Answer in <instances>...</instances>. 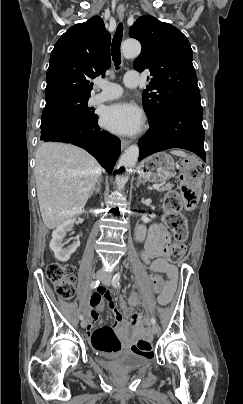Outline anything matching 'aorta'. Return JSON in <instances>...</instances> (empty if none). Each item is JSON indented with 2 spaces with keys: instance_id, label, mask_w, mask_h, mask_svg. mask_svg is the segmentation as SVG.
Instances as JSON below:
<instances>
[{
  "instance_id": "1",
  "label": "aorta",
  "mask_w": 243,
  "mask_h": 404,
  "mask_svg": "<svg viewBox=\"0 0 243 404\" xmlns=\"http://www.w3.org/2000/svg\"><path fill=\"white\" fill-rule=\"evenodd\" d=\"M121 52L127 60H129V58H137L141 52V44H139L137 40H125V42L121 44ZM138 156L139 148L134 144V146H129V148L125 150V154H123L117 162L116 182L118 190H124L125 184L129 181V170L134 168Z\"/></svg>"
}]
</instances>
